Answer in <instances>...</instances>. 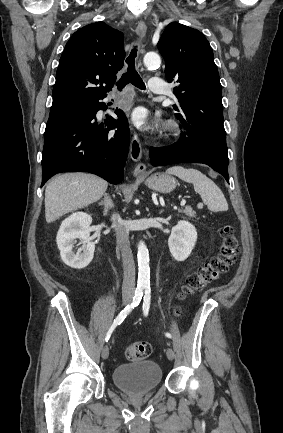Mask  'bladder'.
<instances>
[{"label":"bladder","mask_w":283,"mask_h":433,"mask_svg":"<svg viewBox=\"0 0 283 433\" xmlns=\"http://www.w3.org/2000/svg\"><path fill=\"white\" fill-rule=\"evenodd\" d=\"M113 383L127 392H145L158 388L162 371L153 360H137L117 366L112 374Z\"/></svg>","instance_id":"bladder-1"}]
</instances>
